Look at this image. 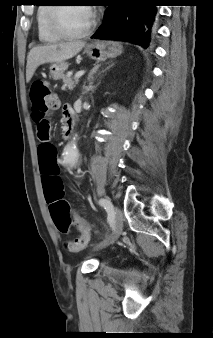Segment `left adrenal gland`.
Segmentation results:
<instances>
[{
	"instance_id": "obj_1",
	"label": "left adrenal gland",
	"mask_w": 213,
	"mask_h": 338,
	"mask_svg": "<svg viewBox=\"0 0 213 338\" xmlns=\"http://www.w3.org/2000/svg\"><path fill=\"white\" fill-rule=\"evenodd\" d=\"M113 65H114V63H112L111 65H109V66H108L105 70H103L102 72H104V71L110 69ZM100 66H101L100 64L95 65V67H94V68L92 69V71L89 73V75H88V80H89L91 83H92V81L94 80V74L97 73V71H98V69H99ZM99 74H100V73H99Z\"/></svg>"
}]
</instances>
